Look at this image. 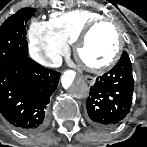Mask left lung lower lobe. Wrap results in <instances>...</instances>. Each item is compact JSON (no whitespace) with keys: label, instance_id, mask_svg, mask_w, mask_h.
<instances>
[{"label":"left lung lower lobe","instance_id":"left-lung-lower-lobe-1","mask_svg":"<svg viewBox=\"0 0 147 147\" xmlns=\"http://www.w3.org/2000/svg\"><path fill=\"white\" fill-rule=\"evenodd\" d=\"M133 88L132 64L123 52L117 65L91 86L86 102L88 121L100 129L120 123L130 111Z\"/></svg>","mask_w":147,"mask_h":147}]
</instances>
